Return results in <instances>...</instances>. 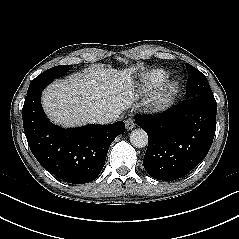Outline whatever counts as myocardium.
<instances>
[{
	"instance_id": "obj_1",
	"label": "myocardium",
	"mask_w": 239,
	"mask_h": 239,
	"mask_svg": "<svg viewBox=\"0 0 239 239\" xmlns=\"http://www.w3.org/2000/svg\"><path fill=\"white\" fill-rule=\"evenodd\" d=\"M180 91L178 80L164 81L149 99V106L154 111H164L170 108Z\"/></svg>"
}]
</instances>
